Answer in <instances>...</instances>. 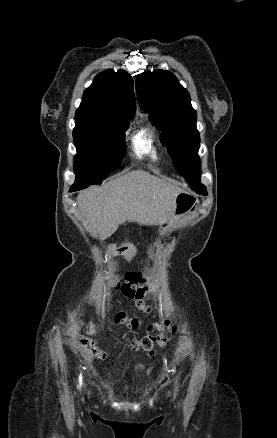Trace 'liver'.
<instances>
[{
  "label": "liver",
  "instance_id": "obj_1",
  "mask_svg": "<svg viewBox=\"0 0 277 438\" xmlns=\"http://www.w3.org/2000/svg\"><path fill=\"white\" fill-rule=\"evenodd\" d=\"M182 190L148 172L134 170L104 186H91L77 196L79 212L90 234L110 238L120 224H163L172 214L173 200Z\"/></svg>",
  "mask_w": 277,
  "mask_h": 438
}]
</instances>
